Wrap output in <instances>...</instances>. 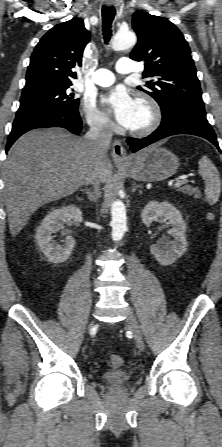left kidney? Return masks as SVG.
Here are the masks:
<instances>
[{"label":"left kidney","instance_id":"1","mask_svg":"<svg viewBox=\"0 0 222 447\" xmlns=\"http://www.w3.org/2000/svg\"><path fill=\"white\" fill-rule=\"evenodd\" d=\"M166 218L171 229L168 233L173 240H160L150 246V251L161 265H170L180 258L187 250L186 223L180 211L169 202L150 201L142 210L141 219L145 225H150L159 218Z\"/></svg>","mask_w":222,"mask_h":447}]
</instances>
